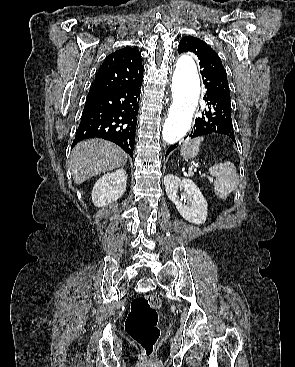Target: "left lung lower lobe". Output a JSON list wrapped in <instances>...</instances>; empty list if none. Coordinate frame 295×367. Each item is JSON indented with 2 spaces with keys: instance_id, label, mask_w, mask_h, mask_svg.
<instances>
[{
  "instance_id": "left-lung-lower-lobe-1",
  "label": "left lung lower lobe",
  "mask_w": 295,
  "mask_h": 367,
  "mask_svg": "<svg viewBox=\"0 0 295 367\" xmlns=\"http://www.w3.org/2000/svg\"><path fill=\"white\" fill-rule=\"evenodd\" d=\"M208 109L203 111V116L195 120L194 130L187 137L196 138L208 134H223L235 141L234 130L231 118L230 95L208 90L204 96ZM177 144L171 145L166 156L175 148Z\"/></svg>"
}]
</instances>
